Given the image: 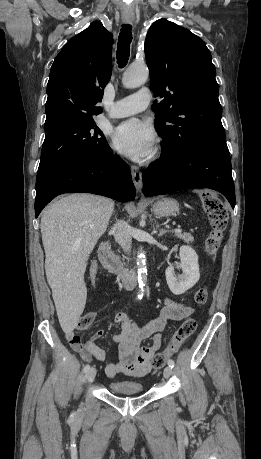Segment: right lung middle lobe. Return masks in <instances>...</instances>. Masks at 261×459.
I'll return each instance as SVG.
<instances>
[{
  "label": "right lung middle lobe",
  "instance_id": "right-lung-middle-lobe-1",
  "mask_svg": "<svg viewBox=\"0 0 261 459\" xmlns=\"http://www.w3.org/2000/svg\"><path fill=\"white\" fill-rule=\"evenodd\" d=\"M44 130L37 178L70 161L101 157L109 147L94 120L66 122Z\"/></svg>",
  "mask_w": 261,
  "mask_h": 459
}]
</instances>
